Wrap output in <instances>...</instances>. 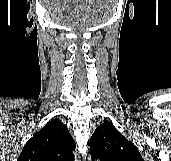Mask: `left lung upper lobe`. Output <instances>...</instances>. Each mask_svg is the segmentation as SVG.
<instances>
[{"label": "left lung upper lobe", "instance_id": "left-lung-upper-lobe-1", "mask_svg": "<svg viewBox=\"0 0 171 161\" xmlns=\"http://www.w3.org/2000/svg\"><path fill=\"white\" fill-rule=\"evenodd\" d=\"M90 153L93 160L144 161L137 147L109 122L96 128L90 140Z\"/></svg>", "mask_w": 171, "mask_h": 161}]
</instances>
